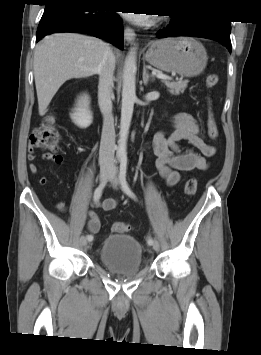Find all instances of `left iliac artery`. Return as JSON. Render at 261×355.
Masks as SVG:
<instances>
[{"mask_svg":"<svg viewBox=\"0 0 261 355\" xmlns=\"http://www.w3.org/2000/svg\"><path fill=\"white\" fill-rule=\"evenodd\" d=\"M126 170H127V157L122 156L121 157V163H120V172H119V179L120 183L122 186L123 191L131 198L135 199L136 196L130 189L127 181H126ZM148 245H152L154 243V240L151 237H148L147 239Z\"/></svg>","mask_w":261,"mask_h":355,"instance_id":"44dca946","label":"left iliac artery"}]
</instances>
